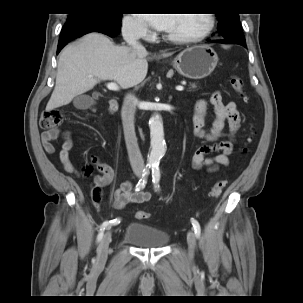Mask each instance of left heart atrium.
I'll use <instances>...</instances> for the list:
<instances>
[{"label":"left heart atrium","mask_w":303,"mask_h":303,"mask_svg":"<svg viewBox=\"0 0 303 303\" xmlns=\"http://www.w3.org/2000/svg\"><path fill=\"white\" fill-rule=\"evenodd\" d=\"M174 14H142V17L155 29L168 31Z\"/></svg>","instance_id":"39dd6f15"}]
</instances>
